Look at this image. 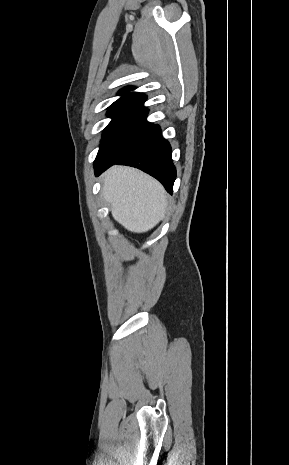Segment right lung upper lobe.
Listing matches in <instances>:
<instances>
[{"label":"right lung upper lobe","mask_w":289,"mask_h":465,"mask_svg":"<svg viewBox=\"0 0 289 465\" xmlns=\"http://www.w3.org/2000/svg\"><path fill=\"white\" fill-rule=\"evenodd\" d=\"M133 89V87H126L120 90L118 95H121V97L117 101H115L109 108L132 104L143 105V103L146 100V95L138 92H130Z\"/></svg>","instance_id":"1"}]
</instances>
